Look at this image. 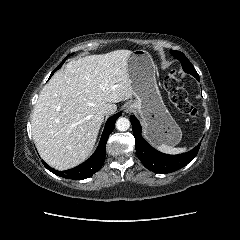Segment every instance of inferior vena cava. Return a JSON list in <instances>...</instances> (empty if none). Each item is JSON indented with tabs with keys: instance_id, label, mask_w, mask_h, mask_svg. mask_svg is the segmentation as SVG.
Instances as JSON below:
<instances>
[{
	"instance_id": "obj_1",
	"label": "inferior vena cava",
	"mask_w": 240,
	"mask_h": 240,
	"mask_svg": "<svg viewBox=\"0 0 240 240\" xmlns=\"http://www.w3.org/2000/svg\"><path fill=\"white\" fill-rule=\"evenodd\" d=\"M102 113H104V114H107V113H108V111H107V110H103V111H102Z\"/></svg>"
}]
</instances>
